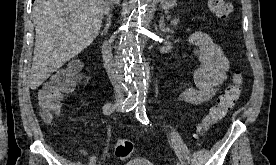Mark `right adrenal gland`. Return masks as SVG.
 Instances as JSON below:
<instances>
[{"mask_svg": "<svg viewBox=\"0 0 276 165\" xmlns=\"http://www.w3.org/2000/svg\"><path fill=\"white\" fill-rule=\"evenodd\" d=\"M110 25H111V15H108L107 23H106L103 31L106 32L109 29Z\"/></svg>", "mask_w": 276, "mask_h": 165, "instance_id": "2a0ac1e0", "label": "right adrenal gland"}]
</instances>
